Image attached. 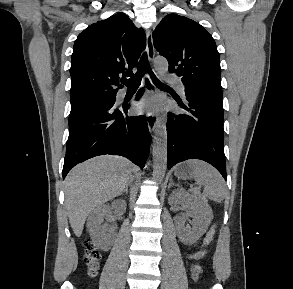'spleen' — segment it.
<instances>
[{"label":"spleen","mask_w":293,"mask_h":289,"mask_svg":"<svg viewBox=\"0 0 293 289\" xmlns=\"http://www.w3.org/2000/svg\"><path fill=\"white\" fill-rule=\"evenodd\" d=\"M194 180L204 186L203 194L209 199L221 202L226 196V184L220 173L208 163L190 160Z\"/></svg>","instance_id":"1"}]
</instances>
